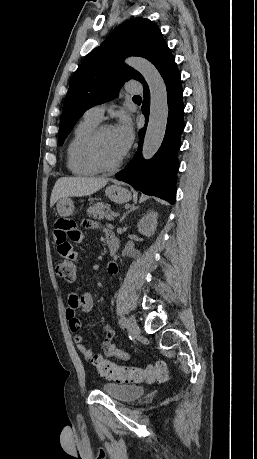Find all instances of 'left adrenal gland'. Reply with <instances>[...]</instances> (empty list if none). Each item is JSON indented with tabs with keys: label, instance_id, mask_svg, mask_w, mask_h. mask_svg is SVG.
I'll return each mask as SVG.
<instances>
[{
	"label": "left adrenal gland",
	"instance_id": "a2214340",
	"mask_svg": "<svg viewBox=\"0 0 257 459\" xmlns=\"http://www.w3.org/2000/svg\"><path fill=\"white\" fill-rule=\"evenodd\" d=\"M137 208H138V206H135L134 204L133 205H128L126 207V209H128V210L123 214V216L120 218L119 222L121 223L130 212L136 210Z\"/></svg>",
	"mask_w": 257,
	"mask_h": 459
}]
</instances>
